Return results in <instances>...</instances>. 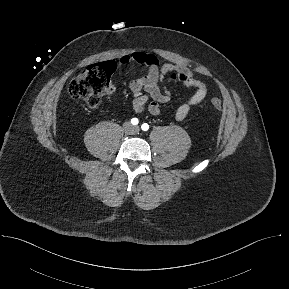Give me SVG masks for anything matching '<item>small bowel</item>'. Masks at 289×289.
<instances>
[{
  "label": "small bowel",
  "instance_id": "c3829d8e",
  "mask_svg": "<svg viewBox=\"0 0 289 289\" xmlns=\"http://www.w3.org/2000/svg\"><path fill=\"white\" fill-rule=\"evenodd\" d=\"M132 63L144 65L147 68V73L143 77L130 80L128 84L134 97L135 114H141L147 110L154 116L161 115L162 105L171 99L170 90L164 84L166 79L179 81L185 87L194 89L190 98L176 109L177 121H183L191 109L201 103L207 95L206 84L197 79L188 67L161 63L155 55L142 51L124 54L119 58V64L122 66Z\"/></svg>",
  "mask_w": 289,
  "mask_h": 289
}]
</instances>
